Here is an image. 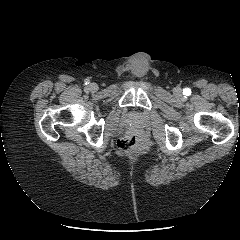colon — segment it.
<instances>
[{"mask_svg": "<svg viewBox=\"0 0 240 240\" xmlns=\"http://www.w3.org/2000/svg\"><path fill=\"white\" fill-rule=\"evenodd\" d=\"M142 146V139L135 135H129L118 140V147L125 154L136 153Z\"/></svg>", "mask_w": 240, "mask_h": 240, "instance_id": "obj_1", "label": "colon"}]
</instances>
